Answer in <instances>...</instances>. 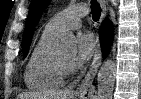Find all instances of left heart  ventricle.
Listing matches in <instances>:
<instances>
[{"label":"left heart ventricle","mask_w":141,"mask_h":99,"mask_svg":"<svg viewBox=\"0 0 141 99\" xmlns=\"http://www.w3.org/2000/svg\"><path fill=\"white\" fill-rule=\"evenodd\" d=\"M58 56L67 63H71L73 54L70 51H62L58 53Z\"/></svg>","instance_id":"obj_1"}]
</instances>
